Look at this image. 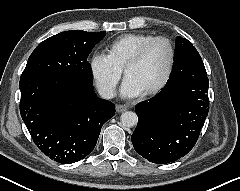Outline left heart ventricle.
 <instances>
[{"label":"left heart ventricle","instance_id":"obj_1","mask_svg":"<svg viewBox=\"0 0 240 191\" xmlns=\"http://www.w3.org/2000/svg\"><path fill=\"white\" fill-rule=\"evenodd\" d=\"M169 57L168 45L163 41L155 42L150 46L142 61L127 72L126 77L130 78L144 93L163 79Z\"/></svg>","mask_w":240,"mask_h":191}]
</instances>
